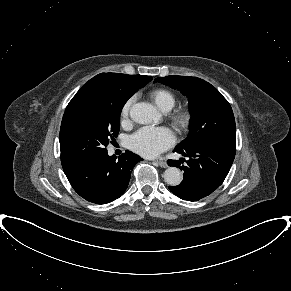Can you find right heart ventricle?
Masks as SVG:
<instances>
[{"mask_svg":"<svg viewBox=\"0 0 291 291\" xmlns=\"http://www.w3.org/2000/svg\"><path fill=\"white\" fill-rule=\"evenodd\" d=\"M149 96L154 104L164 112L170 111L176 103L174 93L165 88H156L149 93Z\"/></svg>","mask_w":291,"mask_h":291,"instance_id":"obj_1","label":"right heart ventricle"}]
</instances>
